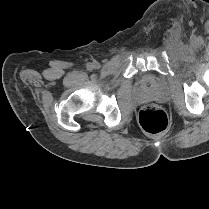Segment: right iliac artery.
<instances>
[{
  "label": "right iliac artery",
  "mask_w": 209,
  "mask_h": 209,
  "mask_svg": "<svg viewBox=\"0 0 209 209\" xmlns=\"http://www.w3.org/2000/svg\"><path fill=\"white\" fill-rule=\"evenodd\" d=\"M87 68H88L89 70H92V69L94 68V65L88 64V65H87Z\"/></svg>",
  "instance_id": "82829eb1"
}]
</instances>
